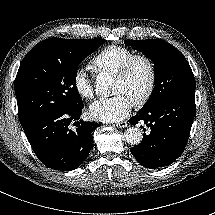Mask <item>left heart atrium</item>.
<instances>
[{
	"label": "left heart atrium",
	"instance_id": "1",
	"mask_svg": "<svg viewBox=\"0 0 215 215\" xmlns=\"http://www.w3.org/2000/svg\"><path fill=\"white\" fill-rule=\"evenodd\" d=\"M133 108V101L120 93L111 98L99 99L92 103L89 114L101 122H117L125 118Z\"/></svg>",
	"mask_w": 215,
	"mask_h": 215
}]
</instances>
